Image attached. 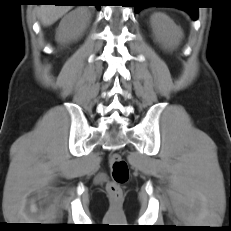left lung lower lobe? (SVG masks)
<instances>
[{
  "label": "left lung lower lobe",
  "instance_id": "obj_1",
  "mask_svg": "<svg viewBox=\"0 0 231 231\" xmlns=\"http://www.w3.org/2000/svg\"><path fill=\"white\" fill-rule=\"evenodd\" d=\"M135 12L146 7H159L158 4H171L167 7H176L186 11L193 20L197 19L198 7L194 6V2L191 0H134Z\"/></svg>",
  "mask_w": 231,
  "mask_h": 231
}]
</instances>
